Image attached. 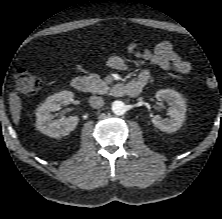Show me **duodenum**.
<instances>
[{"mask_svg":"<svg viewBox=\"0 0 222 219\" xmlns=\"http://www.w3.org/2000/svg\"><path fill=\"white\" fill-rule=\"evenodd\" d=\"M71 85L74 90L85 92L88 89V79L85 76H76L72 79ZM142 87L143 85L139 82L116 83L112 86L111 92L116 96H137L140 94Z\"/></svg>","mask_w":222,"mask_h":219,"instance_id":"duodenum-1","label":"duodenum"}]
</instances>
